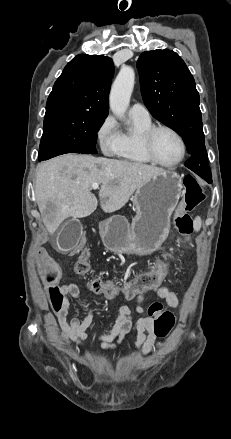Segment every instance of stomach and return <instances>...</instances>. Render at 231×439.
<instances>
[{"label":"stomach","instance_id":"obj_1","mask_svg":"<svg viewBox=\"0 0 231 439\" xmlns=\"http://www.w3.org/2000/svg\"><path fill=\"white\" fill-rule=\"evenodd\" d=\"M182 179L164 171L137 188L131 200L136 215L131 224L115 215L99 226L104 246L120 254L150 255L160 248L169 234L170 218L182 193Z\"/></svg>","mask_w":231,"mask_h":439}]
</instances>
